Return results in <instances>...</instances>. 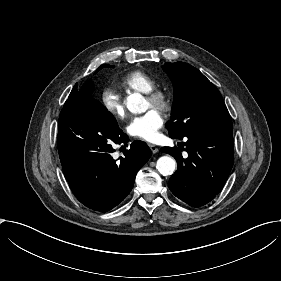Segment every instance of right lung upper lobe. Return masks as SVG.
I'll return each instance as SVG.
<instances>
[{"instance_id": "obj_1", "label": "right lung upper lobe", "mask_w": 281, "mask_h": 281, "mask_svg": "<svg viewBox=\"0 0 281 281\" xmlns=\"http://www.w3.org/2000/svg\"><path fill=\"white\" fill-rule=\"evenodd\" d=\"M103 67H105V64H104V65H102V66H100V67H99V69H101V68H103ZM97 71H98V70H97ZM97 71H96V72H97Z\"/></svg>"}]
</instances>
